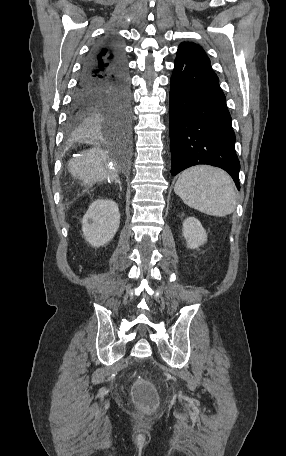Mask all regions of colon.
<instances>
[{
	"label": "colon",
	"instance_id": "obj_1",
	"mask_svg": "<svg viewBox=\"0 0 286 456\" xmlns=\"http://www.w3.org/2000/svg\"><path fill=\"white\" fill-rule=\"evenodd\" d=\"M135 402L145 410L153 409L157 404L155 388L147 382H137L133 387Z\"/></svg>",
	"mask_w": 286,
	"mask_h": 456
}]
</instances>
